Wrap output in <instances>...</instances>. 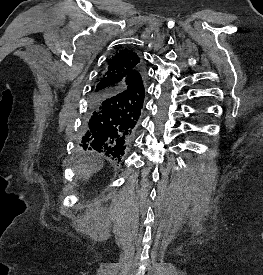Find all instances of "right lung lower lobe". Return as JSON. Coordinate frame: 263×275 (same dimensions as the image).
<instances>
[{
	"label": "right lung lower lobe",
	"instance_id": "obj_1",
	"mask_svg": "<svg viewBox=\"0 0 263 275\" xmlns=\"http://www.w3.org/2000/svg\"><path fill=\"white\" fill-rule=\"evenodd\" d=\"M142 80V69L137 72ZM126 90L92 94L82 125L80 147L120 161L129 146L140 113H131Z\"/></svg>",
	"mask_w": 263,
	"mask_h": 275
}]
</instances>
